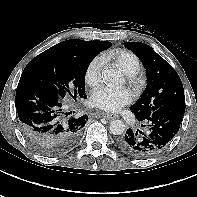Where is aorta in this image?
<instances>
[{"instance_id": "aorta-1", "label": "aorta", "mask_w": 197, "mask_h": 197, "mask_svg": "<svg viewBox=\"0 0 197 197\" xmlns=\"http://www.w3.org/2000/svg\"><path fill=\"white\" fill-rule=\"evenodd\" d=\"M102 78L104 81L112 84H122L123 78L119 71L113 68H105L102 72ZM110 131L114 135H121L125 131V124L122 120H113L110 123Z\"/></svg>"}]
</instances>
